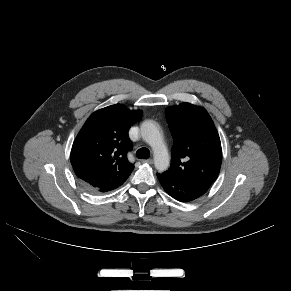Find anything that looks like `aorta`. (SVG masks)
<instances>
[{"label":"aorta","instance_id":"obj_1","mask_svg":"<svg viewBox=\"0 0 291 291\" xmlns=\"http://www.w3.org/2000/svg\"><path fill=\"white\" fill-rule=\"evenodd\" d=\"M142 138L151 146L154 154V165L159 172H164L170 164V157L163 137L157 125L146 120L141 124Z\"/></svg>","mask_w":291,"mask_h":291}]
</instances>
